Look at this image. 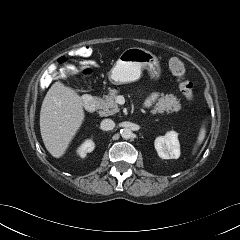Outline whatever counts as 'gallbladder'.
<instances>
[{
  "label": "gallbladder",
  "instance_id": "bac80fb5",
  "mask_svg": "<svg viewBox=\"0 0 240 240\" xmlns=\"http://www.w3.org/2000/svg\"><path fill=\"white\" fill-rule=\"evenodd\" d=\"M70 74H71V75H73V74H74V72H73V71H71V72H70Z\"/></svg>",
  "mask_w": 240,
  "mask_h": 240
}]
</instances>
